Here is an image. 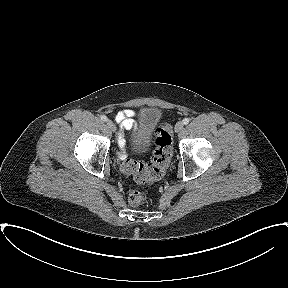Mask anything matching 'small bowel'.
<instances>
[{"label":"small bowel","mask_w":288,"mask_h":288,"mask_svg":"<svg viewBox=\"0 0 288 288\" xmlns=\"http://www.w3.org/2000/svg\"><path fill=\"white\" fill-rule=\"evenodd\" d=\"M136 112L132 109H125L117 113L115 120L120 125L122 130H136V122H135ZM125 144V140L123 135L119 136V145L123 147ZM125 156L124 152L120 153V157L123 158Z\"/></svg>","instance_id":"c3829d8e"}]
</instances>
